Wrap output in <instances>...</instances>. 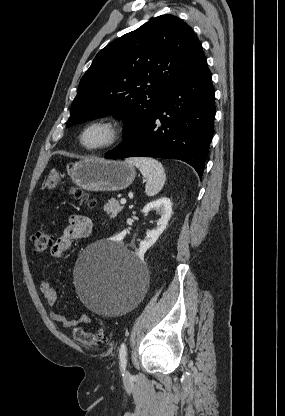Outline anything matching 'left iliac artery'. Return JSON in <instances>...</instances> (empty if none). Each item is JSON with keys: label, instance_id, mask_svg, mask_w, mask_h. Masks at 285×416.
Masks as SVG:
<instances>
[{"label": "left iliac artery", "instance_id": "44dca946", "mask_svg": "<svg viewBox=\"0 0 285 416\" xmlns=\"http://www.w3.org/2000/svg\"><path fill=\"white\" fill-rule=\"evenodd\" d=\"M126 355H127V346L124 343H122L120 347V351H119L121 371H124L126 368V363H127Z\"/></svg>", "mask_w": 285, "mask_h": 416}]
</instances>
